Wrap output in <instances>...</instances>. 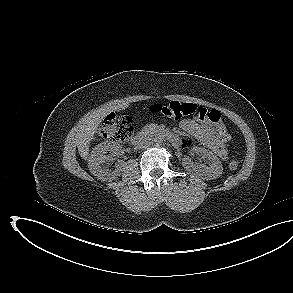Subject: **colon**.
<instances>
[{
  "mask_svg": "<svg viewBox=\"0 0 293 293\" xmlns=\"http://www.w3.org/2000/svg\"><path fill=\"white\" fill-rule=\"evenodd\" d=\"M151 111L161 113L171 119H181L192 116L198 120L215 124L217 136L221 143L225 144L230 140V135L222 123L221 114L215 109H207L194 103L173 101L170 104L153 105ZM133 133V124L129 116L121 113L109 114L101 123L98 135L103 139H109L118 143L126 142ZM239 161L233 160L229 163L231 170L239 167Z\"/></svg>",
  "mask_w": 293,
  "mask_h": 293,
  "instance_id": "5ec220e1",
  "label": "colon"
}]
</instances>
